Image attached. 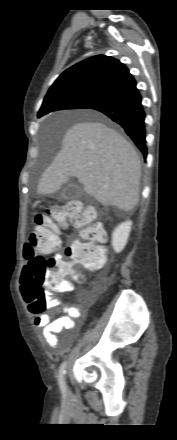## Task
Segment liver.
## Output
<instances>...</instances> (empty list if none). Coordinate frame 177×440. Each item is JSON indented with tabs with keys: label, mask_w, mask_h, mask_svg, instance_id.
I'll return each mask as SVG.
<instances>
[{
	"label": "liver",
	"mask_w": 177,
	"mask_h": 440,
	"mask_svg": "<svg viewBox=\"0 0 177 440\" xmlns=\"http://www.w3.org/2000/svg\"><path fill=\"white\" fill-rule=\"evenodd\" d=\"M72 176L105 206L128 212L139 201L140 158L122 135L101 122H80L66 131L37 192L56 193Z\"/></svg>",
	"instance_id": "liver-1"
}]
</instances>
